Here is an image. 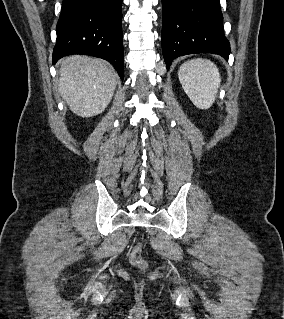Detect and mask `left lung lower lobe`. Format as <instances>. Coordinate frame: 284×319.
I'll list each match as a JSON object with an SVG mask.
<instances>
[{"mask_svg": "<svg viewBox=\"0 0 284 319\" xmlns=\"http://www.w3.org/2000/svg\"><path fill=\"white\" fill-rule=\"evenodd\" d=\"M162 6L167 70L175 58L193 53H213L228 60L230 44L224 35L219 0H162Z\"/></svg>", "mask_w": 284, "mask_h": 319, "instance_id": "1", "label": "left lung lower lobe"}]
</instances>
